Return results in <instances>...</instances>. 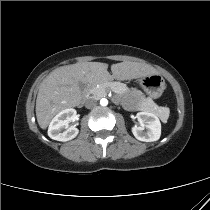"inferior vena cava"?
<instances>
[{"mask_svg":"<svg viewBox=\"0 0 210 210\" xmlns=\"http://www.w3.org/2000/svg\"><path fill=\"white\" fill-rule=\"evenodd\" d=\"M96 105H97V100L94 99V98L88 99L85 102V107L88 108V109L93 108Z\"/></svg>","mask_w":210,"mask_h":210,"instance_id":"inferior-vena-cava-1","label":"inferior vena cava"}]
</instances>
